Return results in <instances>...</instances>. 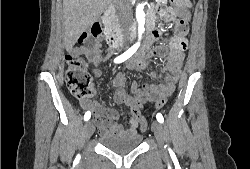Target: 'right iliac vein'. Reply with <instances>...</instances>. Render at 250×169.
Wrapping results in <instances>:
<instances>
[{
	"instance_id": "63e3f726",
	"label": "right iliac vein",
	"mask_w": 250,
	"mask_h": 169,
	"mask_svg": "<svg viewBox=\"0 0 250 169\" xmlns=\"http://www.w3.org/2000/svg\"><path fill=\"white\" fill-rule=\"evenodd\" d=\"M94 130H95L94 124L91 121H87L83 129V135H84L85 141H89L92 134L94 133Z\"/></svg>"
}]
</instances>
